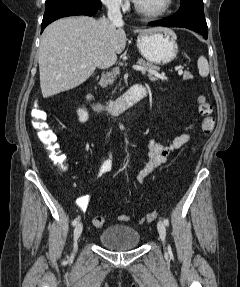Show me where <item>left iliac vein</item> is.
Listing matches in <instances>:
<instances>
[{
  "instance_id": "4c4485c4",
  "label": "left iliac vein",
  "mask_w": 240,
  "mask_h": 287,
  "mask_svg": "<svg viewBox=\"0 0 240 287\" xmlns=\"http://www.w3.org/2000/svg\"><path fill=\"white\" fill-rule=\"evenodd\" d=\"M157 229H158V232H159L161 240L164 242L165 241V236H166L165 224L162 221H159L157 223Z\"/></svg>"
}]
</instances>
